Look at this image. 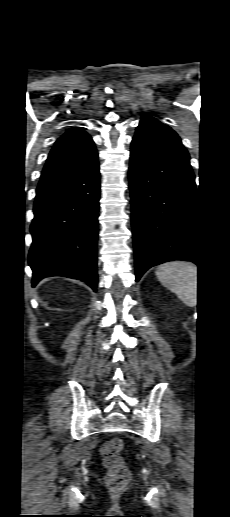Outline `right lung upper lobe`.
Masks as SVG:
<instances>
[{
	"mask_svg": "<svg viewBox=\"0 0 230 517\" xmlns=\"http://www.w3.org/2000/svg\"><path fill=\"white\" fill-rule=\"evenodd\" d=\"M91 137L81 129H70L54 144L41 174L39 185L75 176L97 163Z\"/></svg>",
	"mask_w": 230,
	"mask_h": 517,
	"instance_id": "right-lung-upper-lobe-1",
	"label": "right lung upper lobe"
}]
</instances>
